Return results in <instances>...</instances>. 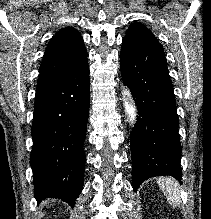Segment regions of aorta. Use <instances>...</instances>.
I'll return each instance as SVG.
<instances>
[{
	"label": "aorta",
	"mask_w": 211,
	"mask_h": 219,
	"mask_svg": "<svg viewBox=\"0 0 211 219\" xmlns=\"http://www.w3.org/2000/svg\"><path fill=\"white\" fill-rule=\"evenodd\" d=\"M129 91L127 89H125L123 91V96L124 97H129ZM124 107H125V112L128 115L129 118V123L134 124L135 120H136V109L135 107L130 104V102H128V100H124Z\"/></svg>",
	"instance_id": "762f6f07"
}]
</instances>
